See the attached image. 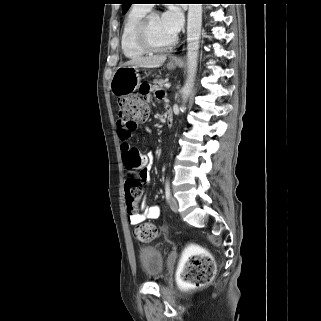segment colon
Segmentation results:
<instances>
[{"label":"colon","instance_id":"5ec220e1","mask_svg":"<svg viewBox=\"0 0 321 321\" xmlns=\"http://www.w3.org/2000/svg\"><path fill=\"white\" fill-rule=\"evenodd\" d=\"M118 117L127 127L136 129L140 123L147 120L149 115L148 105L144 104L141 97L126 96L119 99ZM126 167L132 171L140 170L145 162L139 152L131 153L126 160ZM141 182L132 174L125 182L126 207L129 214L136 213L142 197ZM139 241L149 242L157 237V228L151 223H145L134 230ZM216 272V265L211 254L203 247L191 244L187 250L182 268L184 282L202 286L209 283Z\"/></svg>","mask_w":321,"mask_h":321}]
</instances>
